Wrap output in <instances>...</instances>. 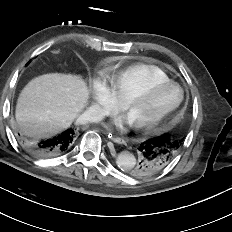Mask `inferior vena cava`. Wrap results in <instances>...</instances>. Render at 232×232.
I'll list each match as a JSON object with an SVG mask.
<instances>
[{"instance_id": "1", "label": "inferior vena cava", "mask_w": 232, "mask_h": 232, "mask_svg": "<svg viewBox=\"0 0 232 232\" xmlns=\"http://www.w3.org/2000/svg\"><path fill=\"white\" fill-rule=\"evenodd\" d=\"M105 113L100 108L99 105L94 104L87 108L84 114L79 118L80 123H84L86 121L96 122L101 120L104 117Z\"/></svg>"}]
</instances>
